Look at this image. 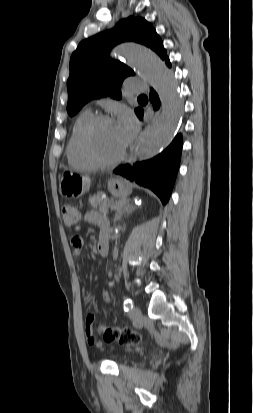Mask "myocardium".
I'll use <instances>...</instances> for the list:
<instances>
[{"mask_svg": "<svg viewBox=\"0 0 253 413\" xmlns=\"http://www.w3.org/2000/svg\"><path fill=\"white\" fill-rule=\"evenodd\" d=\"M113 122V119L107 115L93 116L84 126L81 133V146L86 157L98 167H112L119 164L126 156V147L121 153L113 159H103L99 157L92 145V135L94 130L103 123Z\"/></svg>", "mask_w": 253, "mask_h": 413, "instance_id": "myocardium-1", "label": "myocardium"}]
</instances>
